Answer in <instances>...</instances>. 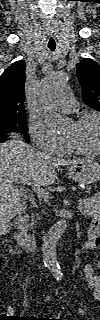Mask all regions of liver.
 <instances>
[{
	"label": "liver",
	"instance_id": "1",
	"mask_svg": "<svg viewBox=\"0 0 100 320\" xmlns=\"http://www.w3.org/2000/svg\"><path fill=\"white\" fill-rule=\"evenodd\" d=\"M0 144V217L1 226L25 210L17 181L48 186L57 179L55 168L77 163L78 160L54 158L22 141L19 135Z\"/></svg>",
	"mask_w": 100,
	"mask_h": 320
}]
</instances>
